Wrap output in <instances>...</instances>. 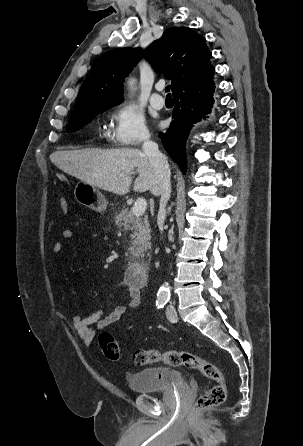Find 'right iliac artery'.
I'll use <instances>...</instances> for the list:
<instances>
[{"mask_svg": "<svg viewBox=\"0 0 303 446\" xmlns=\"http://www.w3.org/2000/svg\"><path fill=\"white\" fill-rule=\"evenodd\" d=\"M166 300L165 299H158L157 301H156V306L158 307V309L159 308H163L164 307V305L166 304Z\"/></svg>", "mask_w": 303, "mask_h": 446, "instance_id": "obj_1", "label": "right iliac artery"}]
</instances>
